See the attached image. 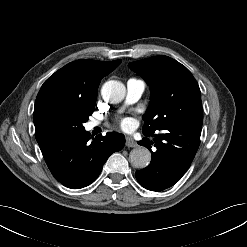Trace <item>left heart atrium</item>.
I'll return each instance as SVG.
<instances>
[{
  "instance_id": "1",
  "label": "left heart atrium",
  "mask_w": 247,
  "mask_h": 247,
  "mask_svg": "<svg viewBox=\"0 0 247 247\" xmlns=\"http://www.w3.org/2000/svg\"><path fill=\"white\" fill-rule=\"evenodd\" d=\"M132 125V120L130 118H124L121 120L120 122V126L123 128V129H128L130 128Z\"/></svg>"
}]
</instances>
